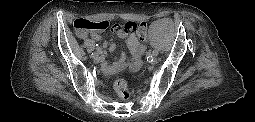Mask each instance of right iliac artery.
<instances>
[{
	"mask_svg": "<svg viewBox=\"0 0 255 122\" xmlns=\"http://www.w3.org/2000/svg\"><path fill=\"white\" fill-rule=\"evenodd\" d=\"M100 53H101V50L98 49L97 52L92 53L91 56L94 57L95 55L100 54Z\"/></svg>",
	"mask_w": 255,
	"mask_h": 122,
	"instance_id": "obj_1",
	"label": "right iliac artery"
}]
</instances>
